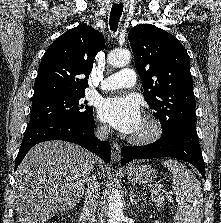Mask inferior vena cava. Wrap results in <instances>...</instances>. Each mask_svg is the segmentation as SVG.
Wrapping results in <instances>:
<instances>
[{"label": "inferior vena cava", "instance_id": "inferior-vena-cava-1", "mask_svg": "<svg viewBox=\"0 0 221 223\" xmlns=\"http://www.w3.org/2000/svg\"><path fill=\"white\" fill-rule=\"evenodd\" d=\"M109 128L107 126L98 127L96 131V136L101 140H106L108 138ZM93 171V170H92ZM87 188L85 192V201L82 210V220L83 223H91L95 218V211L98 197L99 184L97 182L96 176L92 173L87 178Z\"/></svg>", "mask_w": 221, "mask_h": 223}]
</instances>
